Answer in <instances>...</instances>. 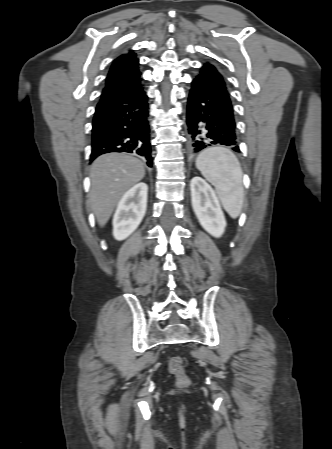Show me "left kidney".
I'll use <instances>...</instances> for the list:
<instances>
[{
    "mask_svg": "<svg viewBox=\"0 0 332 449\" xmlns=\"http://www.w3.org/2000/svg\"><path fill=\"white\" fill-rule=\"evenodd\" d=\"M190 189L192 208L200 225L213 237H221L226 220L214 190L198 176L192 178Z\"/></svg>",
    "mask_w": 332,
    "mask_h": 449,
    "instance_id": "5707ae66",
    "label": "left kidney"
}]
</instances>
